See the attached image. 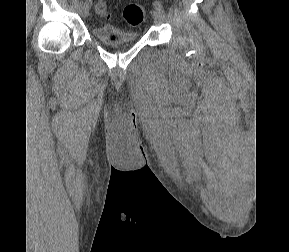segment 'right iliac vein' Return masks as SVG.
<instances>
[{
    "mask_svg": "<svg viewBox=\"0 0 289 252\" xmlns=\"http://www.w3.org/2000/svg\"><path fill=\"white\" fill-rule=\"evenodd\" d=\"M89 9H90V6L87 5L86 3L82 2L79 4V12L82 17H87L89 15Z\"/></svg>",
    "mask_w": 289,
    "mask_h": 252,
    "instance_id": "63e3f726",
    "label": "right iliac vein"
}]
</instances>
